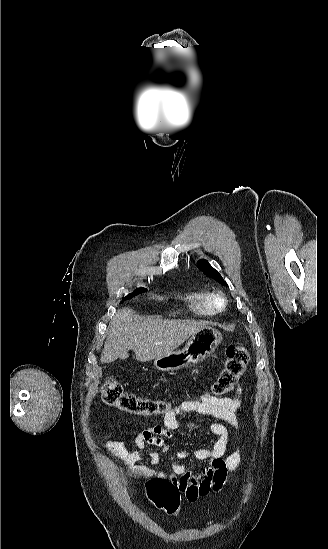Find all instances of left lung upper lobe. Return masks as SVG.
<instances>
[{
	"mask_svg": "<svg viewBox=\"0 0 328 549\" xmlns=\"http://www.w3.org/2000/svg\"><path fill=\"white\" fill-rule=\"evenodd\" d=\"M199 268L209 277H212L213 279L217 280L218 282L227 285V283L223 280L221 275L218 273L217 270H215L206 260H200L198 262Z\"/></svg>",
	"mask_w": 328,
	"mask_h": 549,
	"instance_id": "1",
	"label": "left lung upper lobe"
}]
</instances>
